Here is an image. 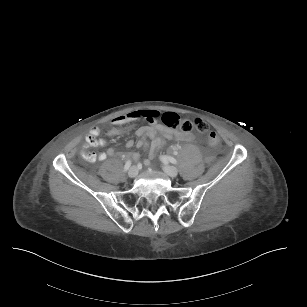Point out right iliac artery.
Returning <instances> with one entry per match:
<instances>
[{"instance_id": "obj_1", "label": "right iliac artery", "mask_w": 307, "mask_h": 307, "mask_svg": "<svg viewBox=\"0 0 307 307\" xmlns=\"http://www.w3.org/2000/svg\"><path fill=\"white\" fill-rule=\"evenodd\" d=\"M130 166H131V160H128L124 165V171L129 170Z\"/></svg>"}]
</instances>
